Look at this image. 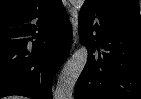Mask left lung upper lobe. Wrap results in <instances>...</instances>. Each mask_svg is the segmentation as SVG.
<instances>
[{
  "label": "left lung upper lobe",
  "instance_id": "1",
  "mask_svg": "<svg viewBox=\"0 0 141 99\" xmlns=\"http://www.w3.org/2000/svg\"><path fill=\"white\" fill-rule=\"evenodd\" d=\"M84 4L114 17L140 18L138 0H86Z\"/></svg>",
  "mask_w": 141,
  "mask_h": 99
}]
</instances>
